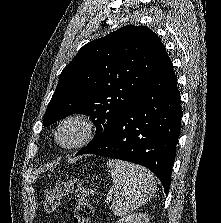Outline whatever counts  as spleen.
Instances as JSON below:
<instances>
[{"mask_svg":"<svg viewBox=\"0 0 221 223\" xmlns=\"http://www.w3.org/2000/svg\"><path fill=\"white\" fill-rule=\"evenodd\" d=\"M111 173L114 199L111 205L115 216H124L150 200L156 189L153 174L147 169L121 160L107 162Z\"/></svg>","mask_w":221,"mask_h":223,"instance_id":"obj_1","label":"spleen"}]
</instances>
